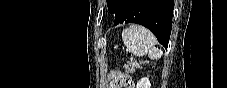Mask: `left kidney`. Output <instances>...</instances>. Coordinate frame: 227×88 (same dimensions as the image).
<instances>
[{
  "instance_id": "obj_1",
  "label": "left kidney",
  "mask_w": 227,
  "mask_h": 88,
  "mask_svg": "<svg viewBox=\"0 0 227 88\" xmlns=\"http://www.w3.org/2000/svg\"><path fill=\"white\" fill-rule=\"evenodd\" d=\"M136 88H151L148 77H143L137 82Z\"/></svg>"
}]
</instances>
